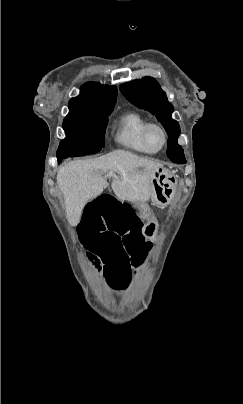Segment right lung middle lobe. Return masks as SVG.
I'll return each instance as SVG.
<instances>
[{"label":"right lung middle lobe","mask_w":243,"mask_h":404,"mask_svg":"<svg viewBox=\"0 0 243 404\" xmlns=\"http://www.w3.org/2000/svg\"><path fill=\"white\" fill-rule=\"evenodd\" d=\"M114 107L91 113L68 114L63 121L66 138L57 150L58 164L68 157L99 152L104 147L108 116Z\"/></svg>","instance_id":"1"}]
</instances>
